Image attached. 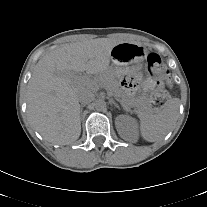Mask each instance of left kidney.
I'll use <instances>...</instances> for the list:
<instances>
[{
	"mask_svg": "<svg viewBox=\"0 0 207 207\" xmlns=\"http://www.w3.org/2000/svg\"><path fill=\"white\" fill-rule=\"evenodd\" d=\"M116 125L118 133L123 139L132 141L137 138V125L131 117L126 115L118 116Z\"/></svg>",
	"mask_w": 207,
	"mask_h": 207,
	"instance_id": "5707ae66",
	"label": "left kidney"
}]
</instances>
